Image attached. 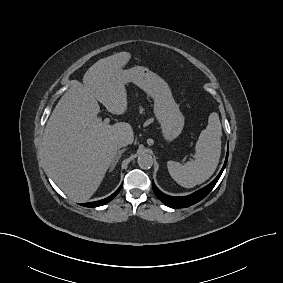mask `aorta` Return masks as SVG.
<instances>
[{
    "label": "aorta",
    "instance_id": "aorta-1",
    "mask_svg": "<svg viewBox=\"0 0 283 283\" xmlns=\"http://www.w3.org/2000/svg\"><path fill=\"white\" fill-rule=\"evenodd\" d=\"M138 165L143 169H149L153 165V158L148 153H142L138 157Z\"/></svg>",
    "mask_w": 283,
    "mask_h": 283
}]
</instances>
